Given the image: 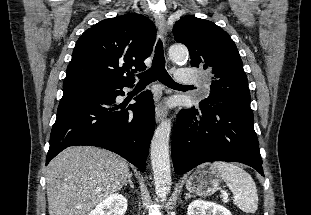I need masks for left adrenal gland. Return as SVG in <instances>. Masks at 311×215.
<instances>
[{
  "instance_id": "a2214340",
  "label": "left adrenal gland",
  "mask_w": 311,
  "mask_h": 215,
  "mask_svg": "<svg viewBox=\"0 0 311 215\" xmlns=\"http://www.w3.org/2000/svg\"><path fill=\"white\" fill-rule=\"evenodd\" d=\"M189 198H191V195L187 193L185 199L187 200Z\"/></svg>"
}]
</instances>
